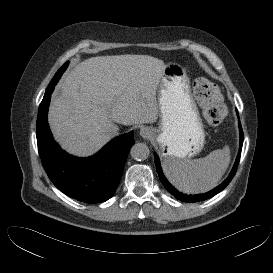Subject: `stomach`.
<instances>
[{
    "label": "stomach",
    "mask_w": 273,
    "mask_h": 273,
    "mask_svg": "<svg viewBox=\"0 0 273 273\" xmlns=\"http://www.w3.org/2000/svg\"><path fill=\"white\" fill-rule=\"evenodd\" d=\"M157 98L160 119L153 138L164 159L185 160L199 154L205 144L204 125L184 67L175 62L165 66Z\"/></svg>",
    "instance_id": "0dacf381"
}]
</instances>
